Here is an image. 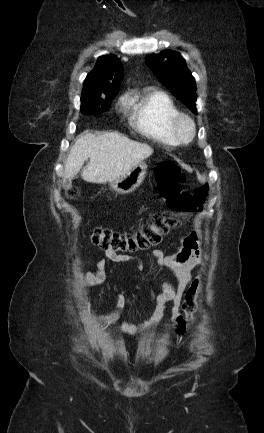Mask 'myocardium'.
<instances>
[{
	"mask_svg": "<svg viewBox=\"0 0 264 433\" xmlns=\"http://www.w3.org/2000/svg\"><path fill=\"white\" fill-rule=\"evenodd\" d=\"M183 126L188 127L189 132L187 135L182 133ZM170 129L174 138L180 144L190 143L195 138L197 132L195 121L183 113H179L172 119Z\"/></svg>",
	"mask_w": 264,
	"mask_h": 433,
	"instance_id": "obj_1",
	"label": "myocardium"
}]
</instances>
